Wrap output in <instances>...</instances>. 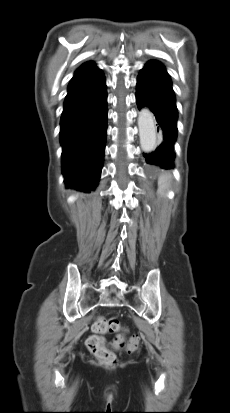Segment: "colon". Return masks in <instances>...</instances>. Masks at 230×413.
I'll return each instance as SVG.
<instances>
[{
    "label": "colon",
    "instance_id": "obj_1",
    "mask_svg": "<svg viewBox=\"0 0 230 413\" xmlns=\"http://www.w3.org/2000/svg\"><path fill=\"white\" fill-rule=\"evenodd\" d=\"M120 329V324L118 320L114 317H98L94 324L93 330L97 334L107 333V332H117ZM123 338L118 336L114 341L115 347L122 346ZM138 345V337L133 336L130 339L128 349L134 351ZM88 350L101 362L106 365H115L117 363L116 355L110 350V348L105 343L104 339L99 335H92L87 340Z\"/></svg>",
    "mask_w": 230,
    "mask_h": 413
}]
</instances>
